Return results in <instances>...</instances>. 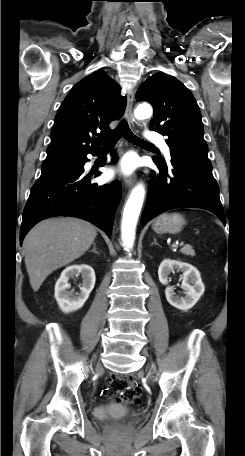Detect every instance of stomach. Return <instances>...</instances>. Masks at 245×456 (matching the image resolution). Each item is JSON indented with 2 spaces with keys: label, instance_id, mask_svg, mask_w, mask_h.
I'll return each instance as SVG.
<instances>
[{
  "label": "stomach",
  "instance_id": "0dacf381",
  "mask_svg": "<svg viewBox=\"0 0 245 456\" xmlns=\"http://www.w3.org/2000/svg\"><path fill=\"white\" fill-rule=\"evenodd\" d=\"M185 225L184 217L179 213L163 214L155 219L152 229L156 233L175 234L182 230Z\"/></svg>",
  "mask_w": 245,
  "mask_h": 456
}]
</instances>
